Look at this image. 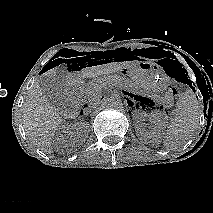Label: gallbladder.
<instances>
[{
    "mask_svg": "<svg viewBox=\"0 0 213 213\" xmlns=\"http://www.w3.org/2000/svg\"><path fill=\"white\" fill-rule=\"evenodd\" d=\"M39 83L43 95L59 112H66L71 108L64 83L59 76L56 78L43 76Z\"/></svg>",
    "mask_w": 213,
    "mask_h": 213,
    "instance_id": "1",
    "label": "gallbladder"
}]
</instances>
